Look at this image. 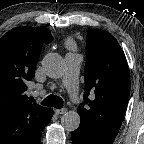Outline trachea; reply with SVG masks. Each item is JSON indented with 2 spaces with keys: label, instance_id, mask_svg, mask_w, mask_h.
I'll list each match as a JSON object with an SVG mask.
<instances>
[{
  "label": "trachea",
  "instance_id": "trachea-1",
  "mask_svg": "<svg viewBox=\"0 0 144 144\" xmlns=\"http://www.w3.org/2000/svg\"><path fill=\"white\" fill-rule=\"evenodd\" d=\"M41 104L44 106L55 107L57 109H60L63 107V99L59 96L50 94L41 102Z\"/></svg>",
  "mask_w": 144,
  "mask_h": 144
}]
</instances>
